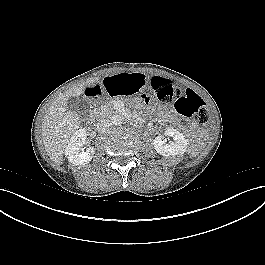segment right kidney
Returning <instances> with one entry per match:
<instances>
[{"instance_id": "obj_1", "label": "right kidney", "mask_w": 265, "mask_h": 265, "mask_svg": "<svg viewBox=\"0 0 265 265\" xmlns=\"http://www.w3.org/2000/svg\"><path fill=\"white\" fill-rule=\"evenodd\" d=\"M86 140L87 134L84 128L77 130L71 136L65 148V156L69 163L78 166L85 165L92 160V157L95 153L94 147H89L85 151L82 149V146L85 144Z\"/></svg>"}]
</instances>
